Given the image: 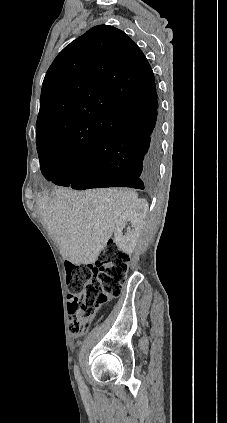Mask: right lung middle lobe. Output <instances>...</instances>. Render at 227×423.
Wrapping results in <instances>:
<instances>
[{
    "label": "right lung middle lobe",
    "instance_id": "obj_1",
    "mask_svg": "<svg viewBox=\"0 0 227 423\" xmlns=\"http://www.w3.org/2000/svg\"><path fill=\"white\" fill-rule=\"evenodd\" d=\"M40 165L44 163L65 165L84 156L88 149H77L64 145L56 140L36 141Z\"/></svg>",
    "mask_w": 227,
    "mask_h": 423
}]
</instances>
